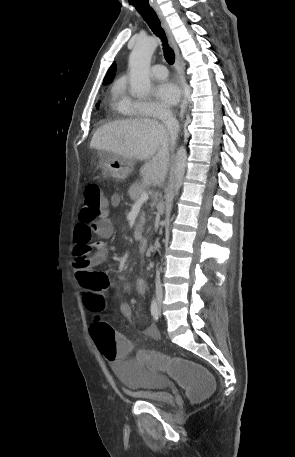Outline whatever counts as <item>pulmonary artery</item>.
Returning a JSON list of instances; mask_svg holds the SVG:
<instances>
[{
  "mask_svg": "<svg viewBox=\"0 0 295 457\" xmlns=\"http://www.w3.org/2000/svg\"><path fill=\"white\" fill-rule=\"evenodd\" d=\"M151 75L157 79H164L167 77L168 71L164 65L156 64L151 68Z\"/></svg>",
  "mask_w": 295,
  "mask_h": 457,
  "instance_id": "1",
  "label": "pulmonary artery"
}]
</instances>
